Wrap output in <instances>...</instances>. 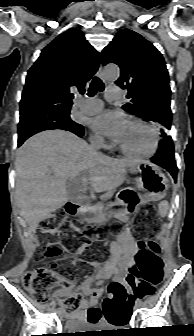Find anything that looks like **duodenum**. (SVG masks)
I'll use <instances>...</instances> for the list:
<instances>
[{
    "label": "duodenum",
    "instance_id": "410a0bca",
    "mask_svg": "<svg viewBox=\"0 0 194 336\" xmlns=\"http://www.w3.org/2000/svg\"><path fill=\"white\" fill-rule=\"evenodd\" d=\"M66 210L72 214L75 215L78 212H80L82 210V207L79 204H75V203H68L66 205Z\"/></svg>",
    "mask_w": 194,
    "mask_h": 336
}]
</instances>
